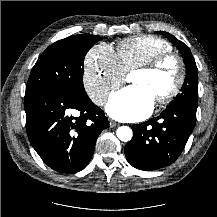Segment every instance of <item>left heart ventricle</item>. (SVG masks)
I'll list each match as a JSON object with an SVG mask.
<instances>
[{"label": "left heart ventricle", "instance_id": "obj_1", "mask_svg": "<svg viewBox=\"0 0 217 217\" xmlns=\"http://www.w3.org/2000/svg\"><path fill=\"white\" fill-rule=\"evenodd\" d=\"M174 81L175 69L171 63L166 64L158 73L135 71L130 77L132 85L143 87L154 100L168 93Z\"/></svg>", "mask_w": 217, "mask_h": 217}]
</instances>
